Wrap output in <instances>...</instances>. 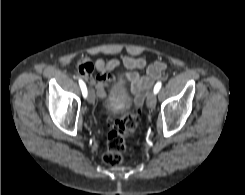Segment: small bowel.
Segmentation results:
<instances>
[{"label":"small bowel","mask_w":245,"mask_h":195,"mask_svg":"<svg viewBox=\"0 0 245 195\" xmlns=\"http://www.w3.org/2000/svg\"><path fill=\"white\" fill-rule=\"evenodd\" d=\"M121 63L128 69L124 78L129 83L130 91L138 104L143 101L149 88L160 78L162 71L166 68V64L159 60L147 65L144 57L128 56L122 62L118 59L98 58L93 61L91 58H82L77 63V71L89 85L95 86L97 95L104 98L107 95L106 88L114 81L111 71L119 67ZM143 69H146L145 74L139 72Z\"/></svg>","instance_id":"obj_1"}]
</instances>
